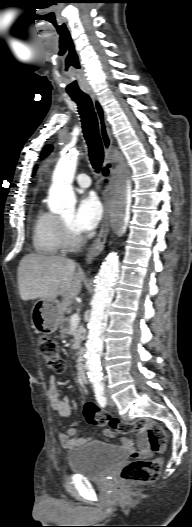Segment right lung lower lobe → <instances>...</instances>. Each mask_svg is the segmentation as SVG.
Segmentation results:
<instances>
[{"label":"right lung lower lobe","mask_w":192,"mask_h":527,"mask_svg":"<svg viewBox=\"0 0 192 527\" xmlns=\"http://www.w3.org/2000/svg\"><path fill=\"white\" fill-rule=\"evenodd\" d=\"M103 173H104L105 175H106V174L108 173V170H107V168H104V171H103Z\"/></svg>","instance_id":"obj_1"}]
</instances>
